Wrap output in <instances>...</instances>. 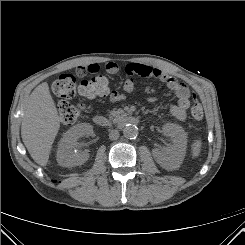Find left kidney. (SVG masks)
I'll return each mask as SVG.
<instances>
[{
    "instance_id": "5707ae66",
    "label": "left kidney",
    "mask_w": 245,
    "mask_h": 245,
    "mask_svg": "<svg viewBox=\"0 0 245 245\" xmlns=\"http://www.w3.org/2000/svg\"><path fill=\"white\" fill-rule=\"evenodd\" d=\"M162 129L172 138L173 144L165 149L153 150L154 158L163 168H177L186 153L187 134L181 126L173 123L163 125Z\"/></svg>"
}]
</instances>
